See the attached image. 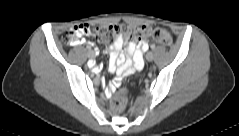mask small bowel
<instances>
[{"mask_svg": "<svg viewBox=\"0 0 239 136\" xmlns=\"http://www.w3.org/2000/svg\"><path fill=\"white\" fill-rule=\"evenodd\" d=\"M125 38L120 34L110 47L109 70L116 72V78L110 89L120 83V77L127 71L135 68L141 69L144 65L143 51L148 49L146 42L129 41L126 47V56L121 53Z\"/></svg>", "mask_w": 239, "mask_h": 136, "instance_id": "small-bowel-1", "label": "small bowel"}]
</instances>
